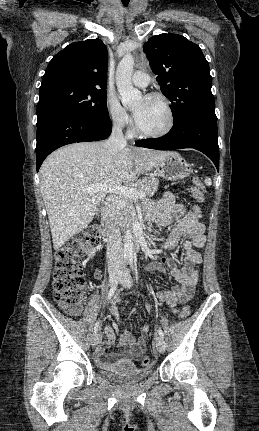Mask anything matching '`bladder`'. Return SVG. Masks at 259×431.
<instances>
[{
  "mask_svg": "<svg viewBox=\"0 0 259 431\" xmlns=\"http://www.w3.org/2000/svg\"><path fill=\"white\" fill-rule=\"evenodd\" d=\"M101 373L110 380L121 384L131 385L143 381L151 376V369H139L133 364L118 363L101 370Z\"/></svg>",
  "mask_w": 259,
  "mask_h": 431,
  "instance_id": "1",
  "label": "bladder"
}]
</instances>
